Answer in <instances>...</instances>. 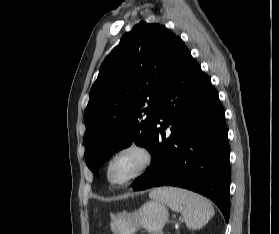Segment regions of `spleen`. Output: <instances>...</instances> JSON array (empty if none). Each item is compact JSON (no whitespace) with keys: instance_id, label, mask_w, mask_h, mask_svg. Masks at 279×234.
I'll use <instances>...</instances> for the list:
<instances>
[{"instance_id":"1","label":"spleen","mask_w":279,"mask_h":234,"mask_svg":"<svg viewBox=\"0 0 279 234\" xmlns=\"http://www.w3.org/2000/svg\"><path fill=\"white\" fill-rule=\"evenodd\" d=\"M150 197L166 204L172 210L180 212L186 225L192 230L205 226L215 214L209 200L185 189L160 187L154 189L150 193Z\"/></svg>"}]
</instances>
